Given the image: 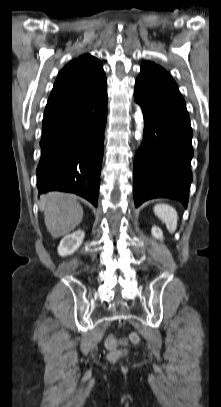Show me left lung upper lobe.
<instances>
[{"instance_id": "left-lung-upper-lobe-1", "label": "left lung upper lobe", "mask_w": 221, "mask_h": 407, "mask_svg": "<svg viewBox=\"0 0 221 407\" xmlns=\"http://www.w3.org/2000/svg\"><path fill=\"white\" fill-rule=\"evenodd\" d=\"M138 80H144L153 83L173 82L171 75L161 66L153 62H144L141 65V72L137 77Z\"/></svg>"}]
</instances>
